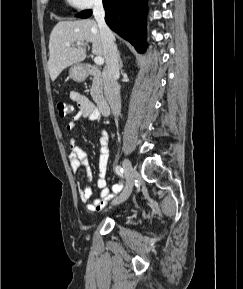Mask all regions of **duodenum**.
Listing matches in <instances>:
<instances>
[{
  "label": "duodenum",
  "instance_id": "obj_1",
  "mask_svg": "<svg viewBox=\"0 0 243 289\" xmlns=\"http://www.w3.org/2000/svg\"><path fill=\"white\" fill-rule=\"evenodd\" d=\"M87 72L89 74H93V73H96L97 70L94 67H92V66H88L87 67ZM97 108H98V112L102 116H108L109 113H110L109 104H108L107 100L104 97H99L97 99Z\"/></svg>",
  "mask_w": 243,
  "mask_h": 289
}]
</instances>
